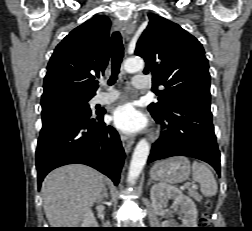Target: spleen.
<instances>
[{
	"label": "spleen",
	"instance_id": "3e777b00",
	"mask_svg": "<svg viewBox=\"0 0 252 231\" xmlns=\"http://www.w3.org/2000/svg\"><path fill=\"white\" fill-rule=\"evenodd\" d=\"M193 180L200 184V190L206 197L216 195L218 187L211 170L204 164L193 162Z\"/></svg>",
	"mask_w": 252,
	"mask_h": 231
}]
</instances>
